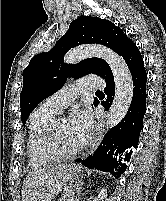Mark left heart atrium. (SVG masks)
<instances>
[{
  "label": "left heart atrium",
  "instance_id": "39dd6f15",
  "mask_svg": "<svg viewBox=\"0 0 166 201\" xmlns=\"http://www.w3.org/2000/svg\"><path fill=\"white\" fill-rule=\"evenodd\" d=\"M68 124L75 134L79 146L83 145L92 131L93 120L91 113L86 109L74 110L70 115Z\"/></svg>",
  "mask_w": 166,
  "mask_h": 201
}]
</instances>
